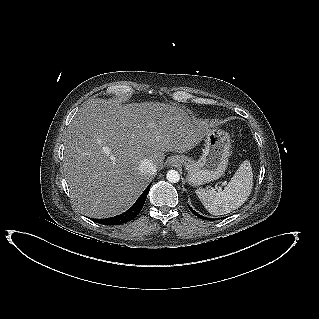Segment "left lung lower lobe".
Listing matches in <instances>:
<instances>
[{
	"label": "left lung lower lobe",
	"mask_w": 319,
	"mask_h": 319,
	"mask_svg": "<svg viewBox=\"0 0 319 319\" xmlns=\"http://www.w3.org/2000/svg\"><path fill=\"white\" fill-rule=\"evenodd\" d=\"M189 209L191 210V212L196 215L197 217L201 218V219H207V220H213L212 218H205L203 216H200L199 214H197L191 207H189Z\"/></svg>",
	"instance_id": "0a47b994"
}]
</instances>
